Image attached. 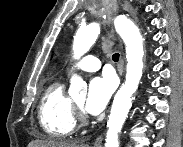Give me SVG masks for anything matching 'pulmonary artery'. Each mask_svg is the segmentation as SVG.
<instances>
[{
  "label": "pulmonary artery",
  "instance_id": "obj_1",
  "mask_svg": "<svg viewBox=\"0 0 183 147\" xmlns=\"http://www.w3.org/2000/svg\"><path fill=\"white\" fill-rule=\"evenodd\" d=\"M101 67L100 60L94 55H87L76 62L73 69L83 70L86 72L97 71Z\"/></svg>",
  "mask_w": 183,
  "mask_h": 147
}]
</instances>
